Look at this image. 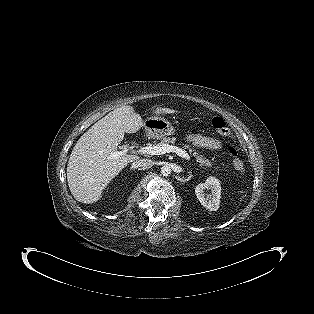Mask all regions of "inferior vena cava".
I'll list each match as a JSON object with an SVG mask.
<instances>
[{
    "label": "inferior vena cava",
    "mask_w": 314,
    "mask_h": 314,
    "mask_svg": "<svg viewBox=\"0 0 314 314\" xmlns=\"http://www.w3.org/2000/svg\"><path fill=\"white\" fill-rule=\"evenodd\" d=\"M153 166V161L150 159H138L131 164V169H137L139 167L150 168Z\"/></svg>",
    "instance_id": "602c4592"
}]
</instances>
